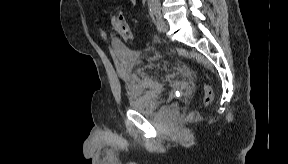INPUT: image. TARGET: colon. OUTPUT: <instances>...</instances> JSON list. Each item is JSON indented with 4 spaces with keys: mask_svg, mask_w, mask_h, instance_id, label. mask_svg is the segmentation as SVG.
I'll use <instances>...</instances> for the list:
<instances>
[{
    "mask_svg": "<svg viewBox=\"0 0 288 164\" xmlns=\"http://www.w3.org/2000/svg\"><path fill=\"white\" fill-rule=\"evenodd\" d=\"M110 23L112 25V28L120 35L122 36L126 41H131L132 36L131 33L128 30L127 22L123 18L122 15L117 14H109L108 16ZM213 99V91L211 87L208 85L204 86V102L206 104L210 103Z\"/></svg>",
    "mask_w": 288,
    "mask_h": 164,
    "instance_id": "obj_1",
    "label": "colon"
}]
</instances>
